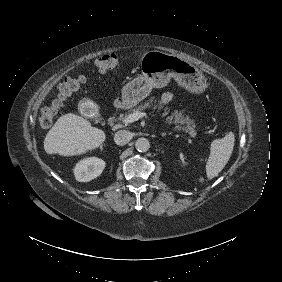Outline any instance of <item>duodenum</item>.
<instances>
[{
  "label": "duodenum",
  "mask_w": 282,
  "mask_h": 282,
  "mask_svg": "<svg viewBox=\"0 0 282 282\" xmlns=\"http://www.w3.org/2000/svg\"><path fill=\"white\" fill-rule=\"evenodd\" d=\"M123 107V103L118 101L115 103V108H122Z\"/></svg>",
  "instance_id": "410a0bca"
}]
</instances>
